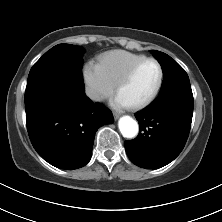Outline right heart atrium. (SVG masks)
<instances>
[{"label":"right heart atrium","mask_w":222,"mask_h":222,"mask_svg":"<svg viewBox=\"0 0 222 222\" xmlns=\"http://www.w3.org/2000/svg\"><path fill=\"white\" fill-rule=\"evenodd\" d=\"M84 80L88 97L94 102H102L112 95L115 89L101 72L98 64L89 61L84 67Z\"/></svg>","instance_id":"obj_1"}]
</instances>
